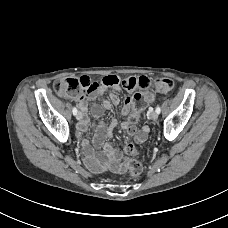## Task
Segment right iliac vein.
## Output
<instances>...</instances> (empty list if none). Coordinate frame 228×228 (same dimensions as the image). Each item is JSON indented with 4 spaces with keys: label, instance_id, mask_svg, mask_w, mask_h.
<instances>
[{
    "label": "right iliac vein",
    "instance_id": "1",
    "mask_svg": "<svg viewBox=\"0 0 228 228\" xmlns=\"http://www.w3.org/2000/svg\"><path fill=\"white\" fill-rule=\"evenodd\" d=\"M81 116H82L81 113L78 112V113L76 114V119H77V120H80V119H81Z\"/></svg>",
    "mask_w": 228,
    "mask_h": 228
}]
</instances>
